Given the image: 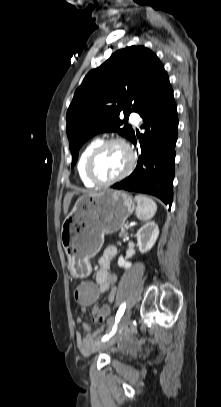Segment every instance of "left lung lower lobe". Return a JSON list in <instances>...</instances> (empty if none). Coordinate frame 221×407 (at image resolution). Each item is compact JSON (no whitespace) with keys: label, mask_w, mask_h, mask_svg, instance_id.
Segmentation results:
<instances>
[{"label":"left lung lower lobe","mask_w":221,"mask_h":407,"mask_svg":"<svg viewBox=\"0 0 221 407\" xmlns=\"http://www.w3.org/2000/svg\"><path fill=\"white\" fill-rule=\"evenodd\" d=\"M138 113L146 123L143 126L146 131L139 139L141 153L137 166L112 188L151 194L171 206L178 118L168 76ZM131 141L136 144L135 134Z\"/></svg>","instance_id":"obj_1"}]
</instances>
